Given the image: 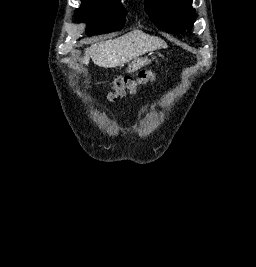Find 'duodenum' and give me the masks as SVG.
Returning a JSON list of instances; mask_svg holds the SVG:
<instances>
[{"label": "duodenum", "mask_w": 256, "mask_h": 267, "mask_svg": "<svg viewBox=\"0 0 256 267\" xmlns=\"http://www.w3.org/2000/svg\"><path fill=\"white\" fill-rule=\"evenodd\" d=\"M138 71V66H129V72Z\"/></svg>", "instance_id": "410a0bca"}]
</instances>
